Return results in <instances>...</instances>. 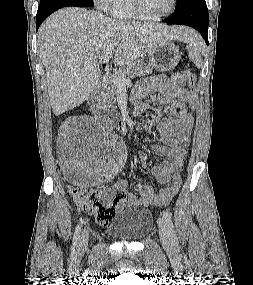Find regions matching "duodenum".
Wrapping results in <instances>:
<instances>
[{"instance_id": "duodenum-1", "label": "duodenum", "mask_w": 253, "mask_h": 285, "mask_svg": "<svg viewBox=\"0 0 253 285\" xmlns=\"http://www.w3.org/2000/svg\"><path fill=\"white\" fill-rule=\"evenodd\" d=\"M104 83L101 82L96 90L90 95L88 99V104L97 118L105 119L110 122H116L117 116L114 113L107 112L104 106L102 105V92H103Z\"/></svg>"}]
</instances>
